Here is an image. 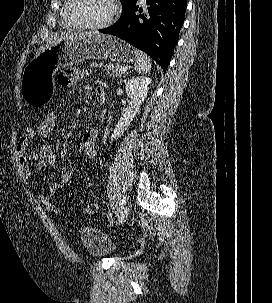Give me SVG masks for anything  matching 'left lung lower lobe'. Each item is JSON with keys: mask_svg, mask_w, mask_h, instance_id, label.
Returning <instances> with one entry per match:
<instances>
[{"mask_svg": "<svg viewBox=\"0 0 272 303\" xmlns=\"http://www.w3.org/2000/svg\"><path fill=\"white\" fill-rule=\"evenodd\" d=\"M146 4L142 10L135 3L116 24L99 31L141 49L166 71L184 23L187 0H146Z\"/></svg>", "mask_w": 272, "mask_h": 303, "instance_id": "1", "label": "left lung lower lobe"}]
</instances>
